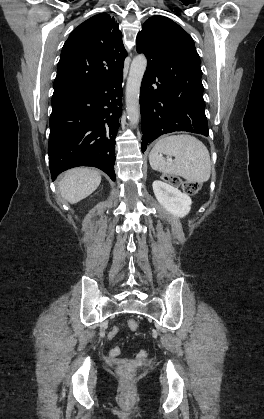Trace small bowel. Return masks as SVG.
Wrapping results in <instances>:
<instances>
[{
	"mask_svg": "<svg viewBox=\"0 0 264 419\" xmlns=\"http://www.w3.org/2000/svg\"><path fill=\"white\" fill-rule=\"evenodd\" d=\"M117 332V328H114L113 331L109 334L110 337H113ZM120 352V348L118 346H114L111 350H110V354L111 356H116L118 355Z\"/></svg>",
	"mask_w": 264,
	"mask_h": 419,
	"instance_id": "obj_1",
	"label": "small bowel"
}]
</instances>
